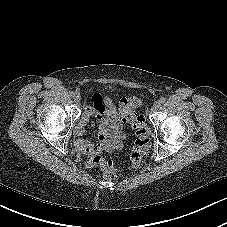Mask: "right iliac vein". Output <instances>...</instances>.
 <instances>
[{
    "instance_id": "63e3f726",
    "label": "right iliac vein",
    "mask_w": 227,
    "mask_h": 227,
    "mask_svg": "<svg viewBox=\"0 0 227 227\" xmlns=\"http://www.w3.org/2000/svg\"><path fill=\"white\" fill-rule=\"evenodd\" d=\"M73 99H74V101H75V103H80V101H81V97H80V95H78V94H76L74 97H73Z\"/></svg>"
}]
</instances>
